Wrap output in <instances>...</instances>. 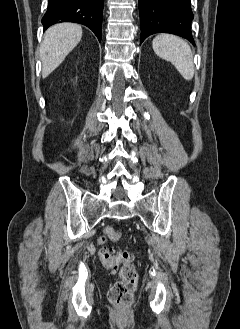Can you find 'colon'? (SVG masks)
<instances>
[{
    "label": "colon",
    "instance_id": "1",
    "mask_svg": "<svg viewBox=\"0 0 240 329\" xmlns=\"http://www.w3.org/2000/svg\"><path fill=\"white\" fill-rule=\"evenodd\" d=\"M119 237L120 233L118 231L110 226L106 227L104 235L99 240L101 244L99 257L108 269H116L119 265H122L119 270L120 279L110 287L108 298L111 303L126 308L132 305L137 288L138 276L131 264L134 254L127 250L114 252L104 245L108 239L117 240Z\"/></svg>",
    "mask_w": 240,
    "mask_h": 329
}]
</instances>
